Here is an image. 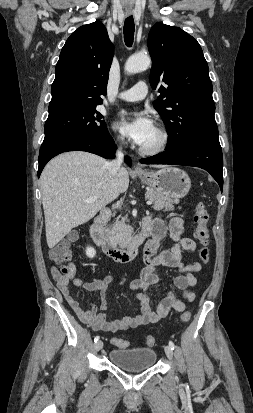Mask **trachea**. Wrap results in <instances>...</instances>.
Instances as JSON below:
<instances>
[{"mask_svg": "<svg viewBox=\"0 0 253 413\" xmlns=\"http://www.w3.org/2000/svg\"><path fill=\"white\" fill-rule=\"evenodd\" d=\"M134 19L133 16H129L125 19L124 23V41L128 47H131L134 40Z\"/></svg>", "mask_w": 253, "mask_h": 413, "instance_id": "trachea-1", "label": "trachea"}]
</instances>
